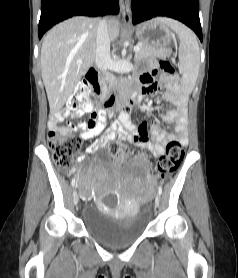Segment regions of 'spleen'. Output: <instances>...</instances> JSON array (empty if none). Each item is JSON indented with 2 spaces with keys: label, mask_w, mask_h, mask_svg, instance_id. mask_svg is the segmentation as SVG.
I'll list each match as a JSON object with an SVG mask.
<instances>
[{
  "label": "spleen",
  "mask_w": 238,
  "mask_h": 278,
  "mask_svg": "<svg viewBox=\"0 0 238 278\" xmlns=\"http://www.w3.org/2000/svg\"><path fill=\"white\" fill-rule=\"evenodd\" d=\"M159 20L176 32L179 40V63L182 75V89L190 94L196 84L199 67L200 52L197 37L194 32L184 24L174 19L162 17Z\"/></svg>",
  "instance_id": "obj_1"
}]
</instances>
